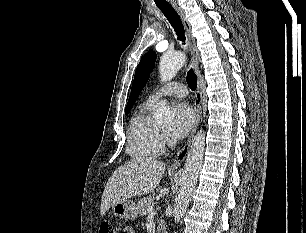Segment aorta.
<instances>
[{
    "label": "aorta",
    "mask_w": 306,
    "mask_h": 233,
    "mask_svg": "<svg viewBox=\"0 0 306 233\" xmlns=\"http://www.w3.org/2000/svg\"><path fill=\"white\" fill-rule=\"evenodd\" d=\"M185 61L186 56L180 51L164 54L159 63L161 81L167 82L173 79L183 67ZM154 120L158 126H168L172 123V113L166 101L159 103V107L154 114ZM204 149L205 133L200 130L194 137L190 151L187 154L184 170L180 178L179 191L175 197L173 215L176 223L181 220L191 201L202 166Z\"/></svg>",
    "instance_id": "762f6f07"
}]
</instances>
